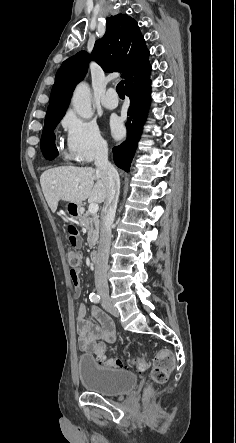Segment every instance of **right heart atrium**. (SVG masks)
Masks as SVG:
<instances>
[{"label": "right heart atrium", "instance_id": "d8ad5b80", "mask_svg": "<svg viewBox=\"0 0 236 443\" xmlns=\"http://www.w3.org/2000/svg\"><path fill=\"white\" fill-rule=\"evenodd\" d=\"M66 132L65 157L73 162L88 164L101 157L107 149L97 125L69 110L62 120Z\"/></svg>", "mask_w": 236, "mask_h": 443}]
</instances>
